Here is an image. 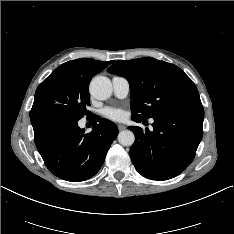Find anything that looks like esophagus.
I'll use <instances>...</instances> for the list:
<instances>
[{
  "instance_id": "1",
  "label": "esophagus",
  "mask_w": 234,
  "mask_h": 234,
  "mask_svg": "<svg viewBox=\"0 0 234 234\" xmlns=\"http://www.w3.org/2000/svg\"><path fill=\"white\" fill-rule=\"evenodd\" d=\"M117 127H118V129H119L120 131L126 129V126H124V125H122V124H119Z\"/></svg>"
}]
</instances>
